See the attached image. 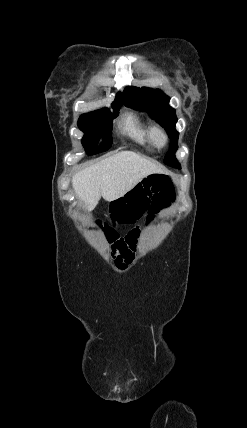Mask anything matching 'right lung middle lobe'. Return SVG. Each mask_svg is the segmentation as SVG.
I'll return each mask as SVG.
<instances>
[{
  "mask_svg": "<svg viewBox=\"0 0 247 428\" xmlns=\"http://www.w3.org/2000/svg\"><path fill=\"white\" fill-rule=\"evenodd\" d=\"M123 104V103H122ZM122 104L112 105L114 115L107 108L86 113L80 116L78 120V127L85 132L82 139L84 148L88 154H96L106 151L112 144V119L118 114L119 107ZM104 135L103 141L100 146H96L100 137Z\"/></svg>",
  "mask_w": 247,
  "mask_h": 428,
  "instance_id": "1",
  "label": "right lung middle lobe"
}]
</instances>
